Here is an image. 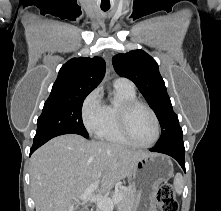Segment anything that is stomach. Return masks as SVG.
I'll return each mask as SVG.
<instances>
[{
  "instance_id": "1",
  "label": "stomach",
  "mask_w": 221,
  "mask_h": 211,
  "mask_svg": "<svg viewBox=\"0 0 221 211\" xmlns=\"http://www.w3.org/2000/svg\"><path fill=\"white\" fill-rule=\"evenodd\" d=\"M173 175V165L169 158L160 154H149L135 162L129 175L135 192L133 211H145L147 201Z\"/></svg>"
}]
</instances>
